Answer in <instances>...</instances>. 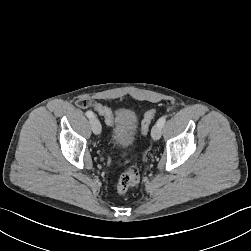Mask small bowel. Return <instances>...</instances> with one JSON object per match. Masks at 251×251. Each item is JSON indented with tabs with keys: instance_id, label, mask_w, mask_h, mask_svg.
<instances>
[{
	"instance_id": "c3829d8e",
	"label": "small bowel",
	"mask_w": 251,
	"mask_h": 251,
	"mask_svg": "<svg viewBox=\"0 0 251 251\" xmlns=\"http://www.w3.org/2000/svg\"><path fill=\"white\" fill-rule=\"evenodd\" d=\"M94 104V103H93ZM91 99L82 98L81 100H76L74 102V107L76 109H89L93 105Z\"/></svg>"
}]
</instances>
